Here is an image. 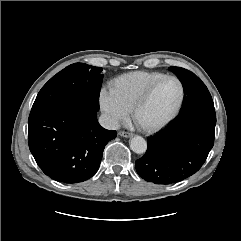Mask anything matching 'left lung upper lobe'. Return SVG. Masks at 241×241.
I'll return each instance as SVG.
<instances>
[{"label":"left lung upper lobe","instance_id":"left-lung-upper-lobe-1","mask_svg":"<svg viewBox=\"0 0 241 241\" xmlns=\"http://www.w3.org/2000/svg\"><path fill=\"white\" fill-rule=\"evenodd\" d=\"M169 69L183 84L184 99L180 113L199 106L214 105L207 87L194 73L180 67Z\"/></svg>","mask_w":241,"mask_h":241}]
</instances>
